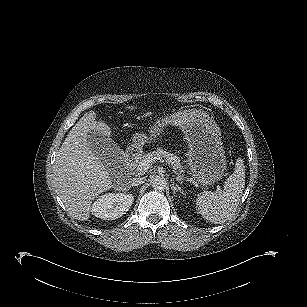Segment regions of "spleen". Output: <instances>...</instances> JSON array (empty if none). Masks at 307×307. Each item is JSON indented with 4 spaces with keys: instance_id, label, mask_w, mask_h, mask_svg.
<instances>
[{
    "instance_id": "1",
    "label": "spleen",
    "mask_w": 307,
    "mask_h": 307,
    "mask_svg": "<svg viewBox=\"0 0 307 307\" xmlns=\"http://www.w3.org/2000/svg\"><path fill=\"white\" fill-rule=\"evenodd\" d=\"M245 187V166L238 158L234 172L225 181L222 192L204 191L198 195L196 206L204 219L221 224L236 212Z\"/></svg>"
}]
</instances>
